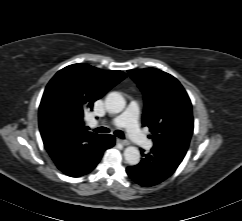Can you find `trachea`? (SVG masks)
<instances>
[{"mask_svg": "<svg viewBox=\"0 0 242 221\" xmlns=\"http://www.w3.org/2000/svg\"><path fill=\"white\" fill-rule=\"evenodd\" d=\"M94 131L98 132V133H109L110 132V130L106 127H99V128L94 129ZM114 134L121 139H125L124 133L121 130H116L114 132Z\"/></svg>", "mask_w": 242, "mask_h": 221, "instance_id": "1", "label": "trachea"}]
</instances>
